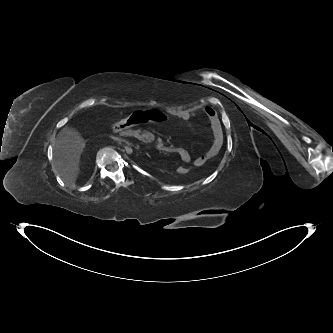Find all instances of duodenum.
I'll list each match as a JSON object with an SVG mask.
<instances>
[{
    "mask_svg": "<svg viewBox=\"0 0 333 333\" xmlns=\"http://www.w3.org/2000/svg\"><path fill=\"white\" fill-rule=\"evenodd\" d=\"M136 136L137 135V133L135 132V131H128L127 133L125 132H123L120 136L123 138L124 136L126 137V136ZM158 150H160V151H170V149L169 148H167V147H164V146H159L158 147Z\"/></svg>",
    "mask_w": 333,
    "mask_h": 333,
    "instance_id": "410a0bca",
    "label": "duodenum"
}]
</instances>
